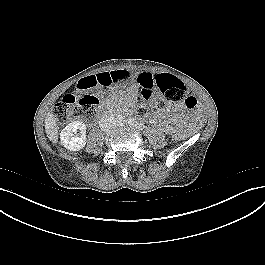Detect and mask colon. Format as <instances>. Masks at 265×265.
<instances>
[{"label":"colon","instance_id":"obj_1","mask_svg":"<svg viewBox=\"0 0 265 265\" xmlns=\"http://www.w3.org/2000/svg\"><path fill=\"white\" fill-rule=\"evenodd\" d=\"M154 82L161 95H157L149 87H143L138 94L140 104L137 113L140 116H146L151 108L161 107L164 101L183 104L188 111L198 109V98L192 96L186 85L177 77L161 72L155 76ZM99 103V96L95 93L79 96L68 94L55 104L52 113L58 122L71 118L89 120L97 114Z\"/></svg>","mask_w":265,"mask_h":265}]
</instances>
